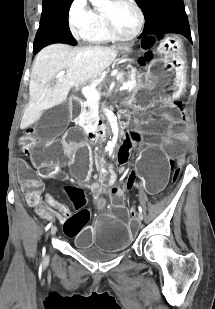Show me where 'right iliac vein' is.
<instances>
[{
    "label": "right iliac vein",
    "instance_id": "63e3f726",
    "mask_svg": "<svg viewBox=\"0 0 215 309\" xmlns=\"http://www.w3.org/2000/svg\"><path fill=\"white\" fill-rule=\"evenodd\" d=\"M56 231H57L56 226H53V227L51 228V234H52V235H55V234H56Z\"/></svg>",
    "mask_w": 215,
    "mask_h": 309
}]
</instances>
